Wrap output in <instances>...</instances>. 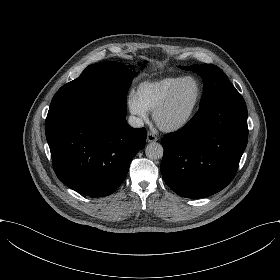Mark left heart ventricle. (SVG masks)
I'll use <instances>...</instances> for the list:
<instances>
[{"label":"left heart ventricle","mask_w":280,"mask_h":280,"mask_svg":"<svg viewBox=\"0 0 280 280\" xmlns=\"http://www.w3.org/2000/svg\"><path fill=\"white\" fill-rule=\"evenodd\" d=\"M200 93L199 83L194 79L184 82L181 89L175 95L172 105L164 114L165 122L181 119L189 114L195 107Z\"/></svg>","instance_id":"left-heart-ventricle-1"}]
</instances>
